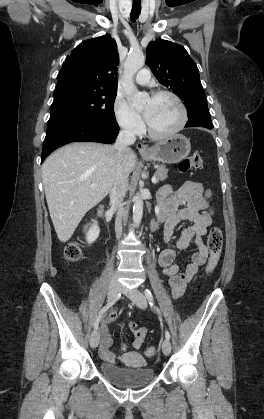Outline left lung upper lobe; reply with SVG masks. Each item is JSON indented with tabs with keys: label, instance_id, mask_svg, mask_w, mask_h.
Masks as SVG:
<instances>
[{
	"label": "left lung upper lobe",
	"instance_id": "left-lung-upper-lobe-1",
	"mask_svg": "<svg viewBox=\"0 0 264 419\" xmlns=\"http://www.w3.org/2000/svg\"><path fill=\"white\" fill-rule=\"evenodd\" d=\"M146 55L154 76L184 101L188 114L210 115L198 68L183 46L157 39L148 44Z\"/></svg>",
	"mask_w": 264,
	"mask_h": 419
}]
</instances>
